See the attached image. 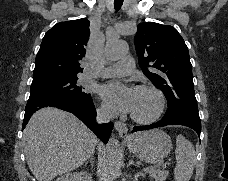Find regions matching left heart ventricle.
<instances>
[{"mask_svg":"<svg viewBox=\"0 0 228 181\" xmlns=\"http://www.w3.org/2000/svg\"><path fill=\"white\" fill-rule=\"evenodd\" d=\"M113 77L119 80L118 83L125 84L121 81L123 73L116 72ZM133 95L132 110L134 113L142 117L149 116L154 111L157 104V99L154 93L147 89H138L133 91Z\"/></svg>","mask_w":228,"mask_h":181,"instance_id":"obj_1","label":"left heart ventricle"}]
</instances>
